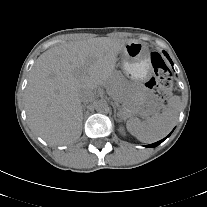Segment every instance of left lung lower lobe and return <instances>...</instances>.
Masks as SVG:
<instances>
[{"instance_id":"obj_1","label":"left lung lower lobe","mask_w":207,"mask_h":207,"mask_svg":"<svg viewBox=\"0 0 207 207\" xmlns=\"http://www.w3.org/2000/svg\"><path fill=\"white\" fill-rule=\"evenodd\" d=\"M163 53H164V55L168 58V60L170 61V63L173 65V62H172V60L170 59L169 55H168L165 51H163ZM169 136H170V134H169L167 137H169ZM167 137H166V138H167ZM166 138H164L163 140H160V141H158V142H156V143L147 145V147H156V146H158L160 143H162Z\"/></svg>"}]
</instances>
